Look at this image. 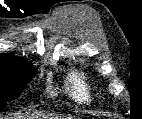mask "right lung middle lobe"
Wrapping results in <instances>:
<instances>
[{"label": "right lung middle lobe", "instance_id": "1", "mask_svg": "<svg viewBox=\"0 0 142 119\" xmlns=\"http://www.w3.org/2000/svg\"><path fill=\"white\" fill-rule=\"evenodd\" d=\"M36 73L32 66L0 69V110L17 99Z\"/></svg>", "mask_w": 142, "mask_h": 119}]
</instances>
